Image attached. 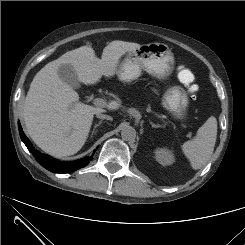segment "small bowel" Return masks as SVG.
Instances as JSON below:
<instances>
[{
    "label": "small bowel",
    "instance_id": "obj_1",
    "mask_svg": "<svg viewBox=\"0 0 245 245\" xmlns=\"http://www.w3.org/2000/svg\"><path fill=\"white\" fill-rule=\"evenodd\" d=\"M177 76L182 83H191L193 81L192 72L182 65L177 68Z\"/></svg>",
    "mask_w": 245,
    "mask_h": 245
}]
</instances>
